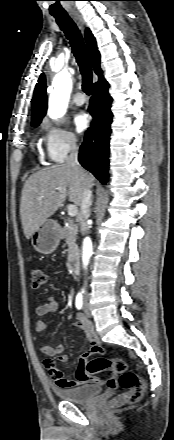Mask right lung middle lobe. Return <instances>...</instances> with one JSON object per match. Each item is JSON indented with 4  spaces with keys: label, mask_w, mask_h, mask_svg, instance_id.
Instances as JSON below:
<instances>
[{
    "label": "right lung middle lobe",
    "mask_w": 174,
    "mask_h": 440,
    "mask_svg": "<svg viewBox=\"0 0 174 440\" xmlns=\"http://www.w3.org/2000/svg\"><path fill=\"white\" fill-rule=\"evenodd\" d=\"M40 122H41V121H35V122H32V126L36 127V126H38V125L40 124Z\"/></svg>",
    "instance_id": "1"
}]
</instances>
